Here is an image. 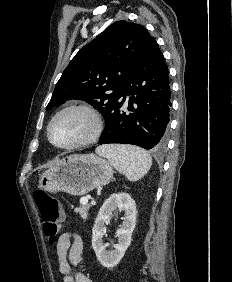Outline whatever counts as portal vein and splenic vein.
<instances>
[{"label":"portal vein and splenic vein","mask_w":232,"mask_h":282,"mask_svg":"<svg viewBox=\"0 0 232 282\" xmlns=\"http://www.w3.org/2000/svg\"><path fill=\"white\" fill-rule=\"evenodd\" d=\"M80 203H81L82 205H87V203H88V198H87V197H82V198L80 199Z\"/></svg>","instance_id":"portal-vein-and-splenic-vein-1"}]
</instances>
